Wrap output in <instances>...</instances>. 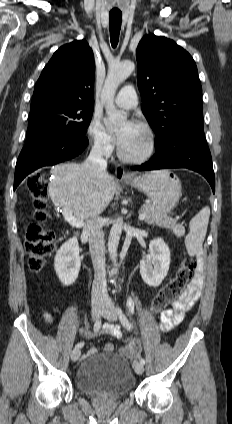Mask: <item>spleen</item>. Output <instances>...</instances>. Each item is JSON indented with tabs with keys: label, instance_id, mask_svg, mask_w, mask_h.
I'll return each mask as SVG.
<instances>
[{
	"label": "spleen",
	"instance_id": "3e777b00",
	"mask_svg": "<svg viewBox=\"0 0 232 424\" xmlns=\"http://www.w3.org/2000/svg\"><path fill=\"white\" fill-rule=\"evenodd\" d=\"M210 217L209 207H204L190 221V231L185 238V246L190 256H194L202 248Z\"/></svg>",
	"mask_w": 232,
	"mask_h": 424
}]
</instances>
